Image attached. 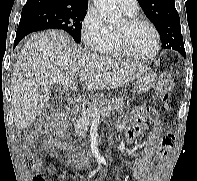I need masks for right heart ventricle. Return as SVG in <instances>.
Instances as JSON below:
<instances>
[{
	"mask_svg": "<svg viewBox=\"0 0 197 181\" xmlns=\"http://www.w3.org/2000/svg\"><path fill=\"white\" fill-rule=\"evenodd\" d=\"M134 14H127V15L131 16V15H134ZM101 53L103 55H107V56H116V57L123 56V54L119 51V49L116 45L115 32L113 30H111V36H110L109 42L104 47V49L101 50Z\"/></svg>",
	"mask_w": 197,
	"mask_h": 181,
	"instance_id": "obj_1",
	"label": "right heart ventricle"
}]
</instances>
